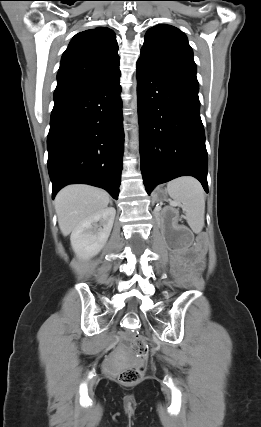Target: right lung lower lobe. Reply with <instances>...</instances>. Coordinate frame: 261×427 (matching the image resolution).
Masks as SVG:
<instances>
[{
  "instance_id": "1",
  "label": "right lung lower lobe",
  "mask_w": 261,
  "mask_h": 427,
  "mask_svg": "<svg viewBox=\"0 0 261 427\" xmlns=\"http://www.w3.org/2000/svg\"><path fill=\"white\" fill-rule=\"evenodd\" d=\"M120 73L54 99L47 138L52 198L86 183L118 199L124 146Z\"/></svg>"
}]
</instances>
